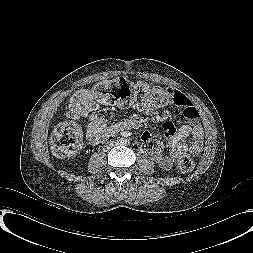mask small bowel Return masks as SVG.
Wrapping results in <instances>:
<instances>
[{"label":"small bowel","instance_id":"c3829d8e","mask_svg":"<svg viewBox=\"0 0 253 253\" xmlns=\"http://www.w3.org/2000/svg\"><path fill=\"white\" fill-rule=\"evenodd\" d=\"M169 90L174 94L172 103L183 110L184 116L191 124H184L175 129L164 114L158 111L152 112L163 124L164 135L168 141V152H164L162 142L156 141L150 149V155L164 170H169L174 161L182 154L198 155L203 149V130L198 123L199 111L197 107L185 94L175 89L169 88ZM97 109L98 105L90 89H80L69 98L68 116L76 121H85L87 138L91 144H98L112 136L116 131L133 125L132 120H121L112 126H108L106 121L96 114ZM189 137L190 141L187 142L186 140ZM155 138L156 135L151 131H144L141 135V141L145 144L151 143Z\"/></svg>","mask_w":253,"mask_h":253}]
</instances>
